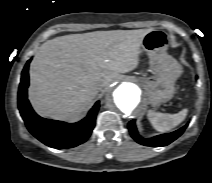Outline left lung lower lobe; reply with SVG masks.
<instances>
[{
  "mask_svg": "<svg viewBox=\"0 0 212 183\" xmlns=\"http://www.w3.org/2000/svg\"><path fill=\"white\" fill-rule=\"evenodd\" d=\"M187 126L188 125H185L179 130L169 134H163V135L155 136L151 139H145L138 134L136 126H135V120H132L128 123L130 134L136 142L142 145L154 146V147L166 146L170 144L184 132Z\"/></svg>",
  "mask_w": 212,
  "mask_h": 183,
  "instance_id": "obj_1",
  "label": "left lung lower lobe"
}]
</instances>
